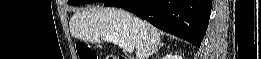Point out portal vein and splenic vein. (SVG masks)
I'll return each instance as SVG.
<instances>
[{"mask_svg": "<svg viewBox=\"0 0 261 59\" xmlns=\"http://www.w3.org/2000/svg\"><path fill=\"white\" fill-rule=\"evenodd\" d=\"M104 40L114 42L115 44H117L118 46H120L121 48L126 50L127 52H133L134 48H135L133 45L128 44V43L124 42V40H121L114 36H106V37H104Z\"/></svg>", "mask_w": 261, "mask_h": 59, "instance_id": "1", "label": "portal vein and splenic vein"}]
</instances>
